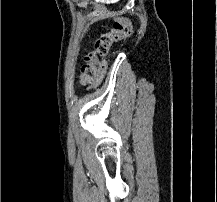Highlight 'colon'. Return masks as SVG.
<instances>
[{
	"label": "colon",
	"instance_id": "obj_1",
	"mask_svg": "<svg viewBox=\"0 0 217 202\" xmlns=\"http://www.w3.org/2000/svg\"><path fill=\"white\" fill-rule=\"evenodd\" d=\"M130 33V19L121 15L116 17L109 30L96 38L92 51L83 55L84 63L79 68L80 83L85 85L87 80L95 79L93 83H90L89 89L98 87L103 80L106 70L105 58L111 46L116 42L126 39ZM95 70H98L96 78L94 74Z\"/></svg>",
	"mask_w": 217,
	"mask_h": 202
}]
</instances>
